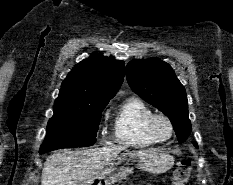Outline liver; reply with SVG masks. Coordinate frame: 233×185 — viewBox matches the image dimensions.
<instances>
[{"label":"liver","mask_w":233,"mask_h":185,"mask_svg":"<svg viewBox=\"0 0 233 185\" xmlns=\"http://www.w3.org/2000/svg\"><path fill=\"white\" fill-rule=\"evenodd\" d=\"M126 146L55 153L43 166L41 185H78L101 172Z\"/></svg>","instance_id":"1"}]
</instances>
